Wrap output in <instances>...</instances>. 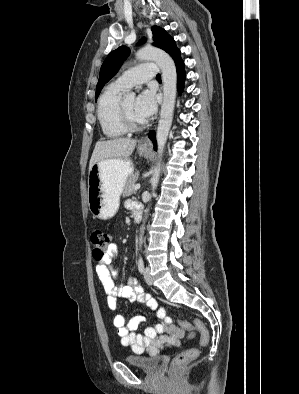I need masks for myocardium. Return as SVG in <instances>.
Returning a JSON list of instances; mask_svg holds the SVG:
<instances>
[{"label": "myocardium", "mask_w": 299, "mask_h": 394, "mask_svg": "<svg viewBox=\"0 0 299 394\" xmlns=\"http://www.w3.org/2000/svg\"><path fill=\"white\" fill-rule=\"evenodd\" d=\"M118 114H119L120 122L126 131H137L144 126L143 121L140 123H135L130 119L124 106V99L122 98L119 102Z\"/></svg>", "instance_id": "myocardium-1"}]
</instances>
